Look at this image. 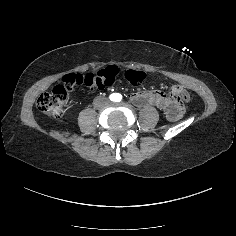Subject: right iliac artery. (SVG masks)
Segmentation results:
<instances>
[{
	"instance_id": "82829eb1",
	"label": "right iliac artery",
	"mask_w": 236,
	"mask_h": 236,
	"mask_svg": "<svg viewBox=\"0 0 236 236\" xmlns=\"http://www.w3.org/2000/svg\"><path fill=\"white\" fill-rule=\"evenodd\" d=\"M109 98H110V100L113 101V102L116 101V94H114V93L111 94Z\"/></svg>"
}]
</instances>
